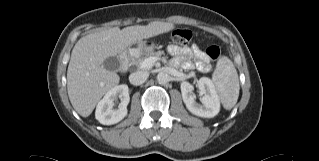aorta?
<instances>
[{
	"mask_svg": "<svg viewBox=\"0 0 319 161\" xmlns=\"http://www.w3.org/2000/svg\"><path fill=\"white\" fill-rule=\"evenodd\" d=\"M157 81L160 84H166L167 82H169V75L165 72H160L157 75Z\"/></svg>",
	"mask_w": 319,
	"mask_h": 161,
	"instance_id": "aorta-1",
	"label": "aorta"
}]
</instances>
